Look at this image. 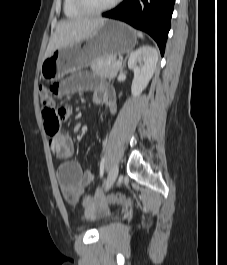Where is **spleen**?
I'll use <instances>...</instances> for the list:
<instances>
[{
    "mask_svg": "<svg viewBox=\"0 0 227 265\" xmlns=\"http://www.w3.org/2000/svg\"><path fill=\"white\" fill-rule=\"evenodd\" d=\"M137 36L139 37V38H143V34L141 33V32H137Z\"/></svg>",
    "mask_w": 227,
    "mask_h": 265,
    "instance_id": "obj_1",
    "label": "spleen"
}]
</instances>
